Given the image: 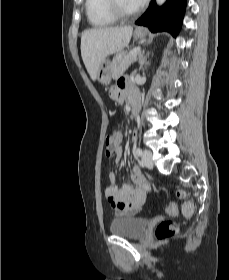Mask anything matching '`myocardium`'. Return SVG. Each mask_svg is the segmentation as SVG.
Listing matches in <instances>:
<instances>
[{
    "label": "myocardium",
    "instance_id": "f54148a6",
    "mask_svg": "<svg viewBox=\"0 0 229 280\" xmlns=\"http://www.w3.org/2000/svg\"><path fill=\"white\" fill-rule=\"evenodd\" d=\"M107 10L116 20L125 21L138 14L140 8L127 12L122 7L120 0H107Z\"/></svg>",
    "mask_w": 229,
    "mask_h": 280
}]
</instances>
